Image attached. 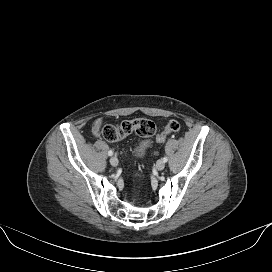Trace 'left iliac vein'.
I'll return each mask as SVG.
<instances>
[{"label": "left iliac vein", "instance_id": "1", "mask_svg": "<svg viewBox=\"0 0 272 272\" xmlns=\"http://www.w3.org/2000/svg\"><path fill=\"white\" fill-rule=\"evenodd\" d=\"M156 168L160 171L163 170L165 168V162L163 160H158L156 162Z\"/></svg>", "mask_w": 272, "mask_h": 272}]
</instances>
